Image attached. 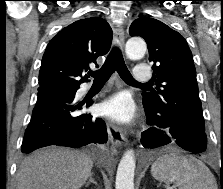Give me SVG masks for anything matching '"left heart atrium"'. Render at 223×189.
<instances>
[{
  "label": "left heart atrium",
  "instance_id": "1",
  "mask_svg": "<svg viewBox=\"0 0 223 189\" xmlns=\"http://www.w3.org/2000/svg\"><path fill=\"white\" fill-rule=\"evenodd\" d=\"M101 112L120 120L129 119L132 115L130 101L124 96H115L109 99L102 105Z\"/></svg>",
  "mask_w": 223,
  "mask_h": 189
}]
</instances>
